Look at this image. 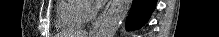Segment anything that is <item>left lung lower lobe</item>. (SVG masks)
<instances>
[{"mask_svg": "<svg viewBox=\"0 0 219 37\" xmlns=\"http://www.w3.org/2000/svg\"><path fill=\"white\" fill-rule=\"evenodd\" d=\"M157 0H133L131 12L127 18L126 28H139L149 19L156 7Z\"/></svg>", "mask_w": 219, "mask_h": 37, "instance_id": "0a47b994", "label": "left lung lower lobe"}]
</instances>
